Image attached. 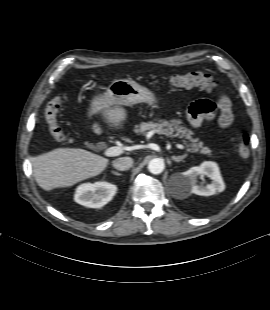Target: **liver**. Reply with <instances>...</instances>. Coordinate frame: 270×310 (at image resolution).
<instances>
[{"label":"liver","instance_id":"obj_1","mask_svg":"<svg viewBox=\"0 0 270 310\" xmlns=\"http://www.w3.org/2000/svg\"><path fill=\"white\" fill-rule=\"evenodd\" d=\"M101 114L110 127L122 128L127 112L110 98L96 96L88 109V116ZM33 175L45 191L69 187L82 180L101 174L109 160L80 148H56L30 159Z\"/></svg>","mask_w":270,"mask_h":310}]
</instances>
